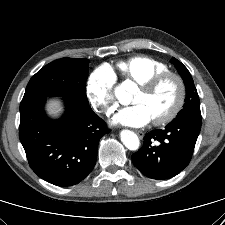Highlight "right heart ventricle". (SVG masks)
<instances>
[{
    "label": "right heart ventricle",
    "instance_id": "right-heart-ventricle-1",
    "mask_svg": "<svg viewBox=\"0 0 225 225\" xmlns=\"http://www.w3.org/2000/svg\"><path fill=\"white\" fill-rule=\"evenodd\" d=\"M116 67L124 79L137 84L168 71V67L164 63L143 55L119 61Z\"/></svg>",
    "mask_w": 225,
    "mask_h": 225
}]
</instances>
